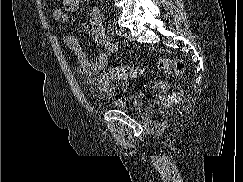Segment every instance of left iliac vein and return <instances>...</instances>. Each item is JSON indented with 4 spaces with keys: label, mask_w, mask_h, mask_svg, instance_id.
<instances>
[{
    "label": "left iliac vein",
    "mask_w": 243,
    "mask_h": 182,
    "mask_svg": "<svg viewBox=\"0 0 243 182\" xmlns=\"http://www.w3.org/2000/svg\"><path fill=\"white\" fill-rule=\"evenodd\" d=\"M124 38H125L127 41H132V40H133V36H132L129 32H125V33H124Z\"/></svg>",
    "instance_id": "1"
}]
</instances>
